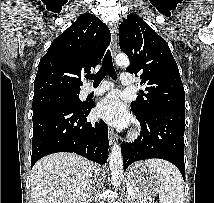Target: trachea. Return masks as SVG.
Instances as JSON below:
<instances>
[{
    "label": "trachea",
    "instance_id": "3493384b",
    "mask_svg": "<svg viewBox=\"0 0 214 203\" xmlns=\"http://www.w3.org/2000/svg\"><path fill=\"white\" fill-rule=\"evenodd\" d=\"M106 75H109L114 80L117 79V74L115 72L112 62L111 52L109 50L104 56L103 64L100 71L97 74L90 75L88 78L94 80V86H98Z\"/></svg>",
    "mask_w": 214,
    "mask_h": 203
}]
</instances>
